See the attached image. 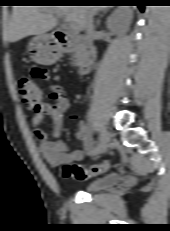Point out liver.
<instances>
[{
    "mask_svg": "<svg viewBox=\"0 0 170 231\" xmlns=\"http://www.w3.org/2000/svg\"><path fill=\"white\" fill-rule=\"evenodd\" d=\"M88 7L97 13L109 6H14L4 36L8 42H16L28 35H44L56 26V13L62 14L66 22L74 23L81 31L85 28Z\"/></svg>",
    "mask_w": 170,
    "mask_h": 231,
    "instance_id": "6515ba94",
    "label": "liver"
}]
</instances>
